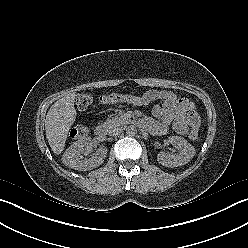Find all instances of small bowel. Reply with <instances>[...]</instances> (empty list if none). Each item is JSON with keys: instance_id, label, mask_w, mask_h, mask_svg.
<instances>
[{"instance_id": "small-bowel-1", "label": "small bowel", "mask_w": 248, "mask_h": 248, "mask_svg": "<svg viewBox=\"0 0 248 248\" xmlns=\"http://www.w3.org/2000/svg\"><path fill=\"white\" fill-rule=\"evenodd\" d=\"M154 101H159L152 110L153 115L159 121H154L149 117L141 120V124L148 127L152 133L165 134L170 123L175 132L180 135H187L190 128L199 127L200 118L195 105L185 98H178L171 91L148 90L139 96L129 95L126 102L136 106H145Z\"/></svg>"}]
</instances>
